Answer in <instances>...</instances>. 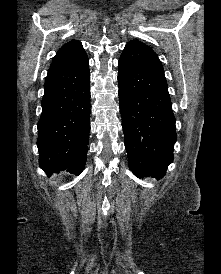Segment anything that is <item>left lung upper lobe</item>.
I'll use <instances>...</instances> for the list:
<instances>
[{"label":"left lung upper lobe","mask_w":221,"mask_h":274,"mask_svg":"<svg viewBox=\"0 0 221 274\" xmlns=\"http://www.w3.org/2000/svg\"><path fill=\"white\" fill-rule=\"evenodd\" d=\"M130 42H132V43H134V44H136V45H139L140 47H142V48H144V49H146V50H148L149 52H151V53H154L155 54V52L149 47V46H147V45H145V44H143V43H141L140 41H138V40H133V41H130Z\"/></svg>","instance_id":"1"}]
</instances>
